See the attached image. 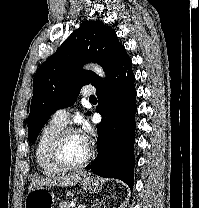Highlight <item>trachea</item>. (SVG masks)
<instances>
[{"label":"trachea","instance_id":"trachea-1","mask_svg":"<svg viewBox=\"0 0 199 208\" xmlns=\"http://www.w3.org/2000/svg\"><path fill=\"white\" fill-rule=\"evenodd\" d=\"M89 100H90V101H97V99H96V97H95V96H93V97L89 98Z\"/></svg>","mask_w":199,"mask_h":208}]
</instances>
